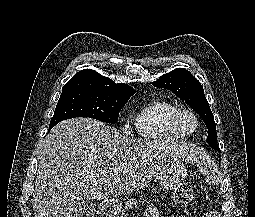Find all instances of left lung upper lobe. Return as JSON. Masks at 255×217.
<instances>
[{"label": "left lung upper lobe", "mask_w": 255, "mask_h": 217, "mask_svg": "<svg viewBox=\"0 0 255 217\" xmlns=\"http://www.w3.org/2000/svg\"><path fill=\"white\" fill-rule=\"evenodd\" d=\"M152 85L172 91L176 96L184 99L203 119L207 128V143L215 150L220 151L217 146V134L214 117L207 102L201 83L184 68H176L162 75Z\"/></svg>", "instance_id": "left-lung-upper-lobe-1"}]
</instances>
